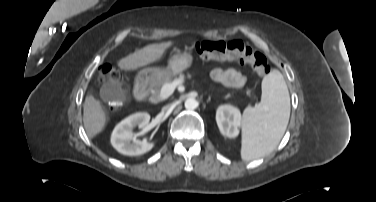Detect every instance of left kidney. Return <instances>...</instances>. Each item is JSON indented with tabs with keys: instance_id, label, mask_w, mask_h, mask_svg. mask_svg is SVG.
Returning a JSON list of instances; mask_svg holds the SVG:
<instances>
[{
	"instance_id": "5707ae66",
	"label": "left kidney",
	"mask_w": 376,
	"mask_h": 202,
	"mask_svg": "<svg viewBox=\"0 0 376 202\" xmlns=\"http://www.w3.org/2000/svg\"><path fill=\"white\" fill-rule=\"evenodd\" d=\"M216 121L220 132L229 138L239 135L242 116L238 108L231 105H222L216 112Z\"/></svg>"
}]
</instances>
